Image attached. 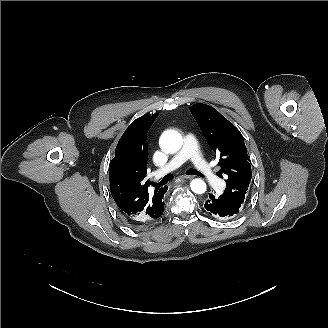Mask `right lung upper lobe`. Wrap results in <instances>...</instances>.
Listing matches in <instances>:
<instances>
[{"label": "right lung upper lobe", "mask_w": 328, "mask_h": 328, "mask_svg": "<svg viewBox=\"0 0 328 328\" xmlns=\"http://www.w3.org/2000/svg\"><path fill=\"white\" fill-rule=\"evenodd\" d=\"M158 114L143 115L134 120L120 138L110 163V191L121 214L143 226L163 213V196L168 187L149 194L146 180L148 150L146 135Z\"/></svg>", "instance_id": "obj_1"}]
</instances>
